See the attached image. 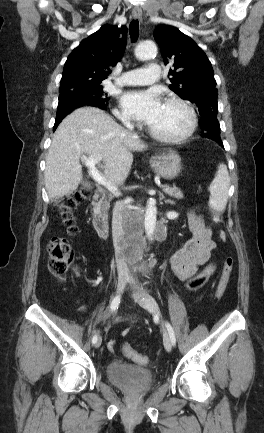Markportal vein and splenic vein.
Listing matches in <instances>:
<instances>
[{"mask_svg":"<svg viewBox=\"0 0 264 433\" xmlns=\"http://www.w3.org/2000/svg\"><path fill=\"white\" fill-rule=\"evenodd\" d=\"M82 158L85 161L86 166L89 169V174L91 175V177L100 185L106 187L114 196L118 197L120 195V193L117 191L116 186H113L111 183H109L102 175L101 173L98 171V169L96 168V165L102 160V156L99 155L97 157H86V156H82ZM163 191L165 193H172L174 191H178L180 192V190L176 187L170 188H164Z\"/></svg>","mask_w":264,"mask_h":433,"instance_id":"portal-vein-and-splenic-vein-1","label":"portal vein and splenic vein"}]
</instances>
